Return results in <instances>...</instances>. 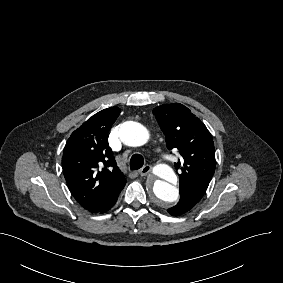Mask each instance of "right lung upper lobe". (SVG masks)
<instances>
[{"instance_id":"1","label":"right lung upper lobe","mask_w":283,"mask_h":283,"mask_svg":"<svg viewBox=\"0 0 283 283\" xmlns=\"http://www.w3.org/2000/svg\"><path fill=\"white\" fill-rule=\"evenodd\" d=\"M119 114L118 107L96 113L71 134L64 148L63 172L69 190L90 212L106 207L126 184L107 140Z\"/></svg>"}]
</instances>
